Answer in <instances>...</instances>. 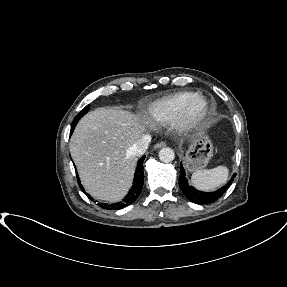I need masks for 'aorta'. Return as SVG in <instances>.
<instances>
[{
  "mask_svg": "<svg viewBox=\"0 0 287 287\" xmlns=\"http://www.w3.org/2000/svg\"><path fill=\"white\" fill-rule=\"evenodd\" d=\"M175 158L173 149L164 147L159 151V159L164 163L172 162Z\"/></svg>",
  "mask_w": 287,
  "mask_h": 287,
  "instance_id": "obj_1",
  "label": "aorta"
}]
</instances>
